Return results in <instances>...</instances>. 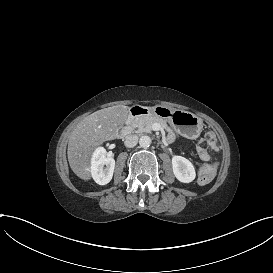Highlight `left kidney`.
Masks as SVG:
<instances>
[{"mask_svg": "<svg viewBox=\"0 0 273 273\" xmlns=\"http://www.w3.org/2000/svg\"><path fill=\"white\" fill-rule=\"evenodd\" d=\"M172 170L175 178L181 183L189 184L196 178L194 165L185 157L178 155L173 156Z\"/></svg>", "mask_w": 273, "mask_h": 273, "instance_id": "1", "label": "left kidney"}]
</instances>
